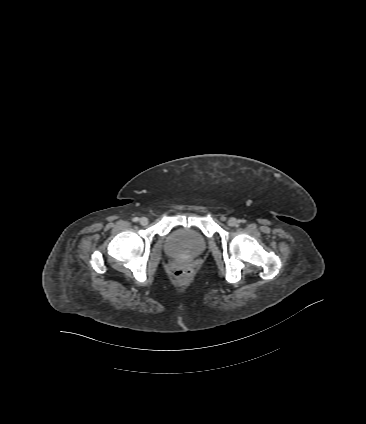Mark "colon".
I'll return each instance as SVG.
<instances>
[{"mask_svg":"<svg viewBox=\"0 0 366 424\" xmlns=\"http://www.w3.org/2000/svg\"><path fill=\"white\" fill-rule=\"evenodd\" d=\"M174 274H175L176 278H178L180 280H184V279L189 277L190 270L187 267L179 266L175 269Z\"/></svg>","mask_w":366,"mask_h":424,"instance_id":"obj_1","label":"colon"}]
</instances>
